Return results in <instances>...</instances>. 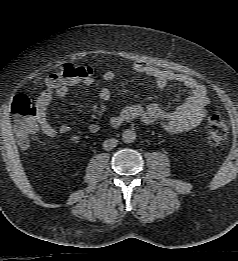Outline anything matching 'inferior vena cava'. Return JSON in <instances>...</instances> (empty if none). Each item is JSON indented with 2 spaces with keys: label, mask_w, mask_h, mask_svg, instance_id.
<instances>
[{
  "label": "inferior vena cava",
  "mask_w": 238,
  "mask_h": 261,
  "mask_svg": "<svg viewBox=\"0 0 238 261\" xmlns=\"http://www.w3.org/2000/svg\"><path fill=\"white\" fill-rule=\"evenodd\" d=\"M118 144V140L115 138L107 139L103 142V149L104 150H111Z\"/></svg>",
  "instance_id": "1"
}]
</instances>
